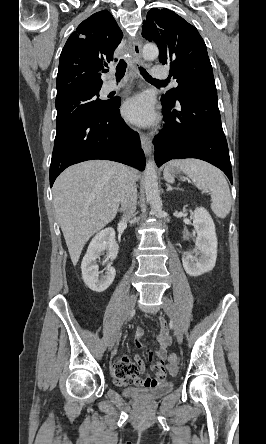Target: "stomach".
Segmentation results:
<instances>
[{
  "mask_svg": "<svg viewBox=\"0 0 266 444\" xmlns=\"http://www.w3.org/2000/svg\"><path fill=\"white\" fill-rule=\"evenodd\" d=\"M180 170L176 167H172L167 171H164V177L167 179L168 177L174 178L177 174H179Z\"/></svg>",
  "mask_w": 266,
  "mask_h": 444,
  "instance_id": "0dacf381",
  "label": "stomach"
}]
</instances>
